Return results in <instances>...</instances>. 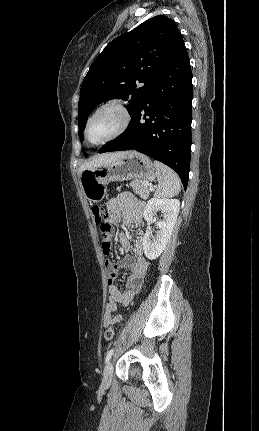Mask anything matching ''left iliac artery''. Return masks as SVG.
<instances>
[{"label":"left iliac artery","instance_id":"44dca946","mask_svg":"<svg viewBox=\"0 0 259 431\" xmlns=\"http://www.w3.org/2000/svg\"><path fill=\"white\" fill-rule=\"evenodd\" d=\"M113 352H114V348L110 349V350L107 352V355H106V358H105V362H106V363L110 360V358H111V356H112Z\"/></svg>","mask_w":259,"mask_h":431}]
</instances>
